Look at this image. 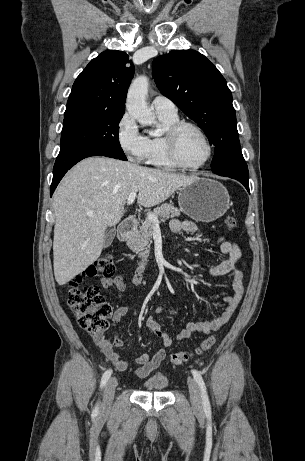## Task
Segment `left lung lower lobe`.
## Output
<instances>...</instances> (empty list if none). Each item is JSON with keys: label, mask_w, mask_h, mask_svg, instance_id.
<instances>
[{"label": "left lung lower lobe", "mask_w": 305, "mask_h": 461, "mask_svg": "<svg viewBox=\"0 0 305 461\" xmlns=\"http://www.w3.org/2000/svg\"><path fill=\"white\" fill-rule=\"evenodd\" d=\"M221 176H227V177H230V178H233V179H236L238 180L239 182H241L245 188L248 190L249 192V182H248V177H242V176H239V175H233V174H227V175H221Z\"/></svg>", "instance_id": "0a47b994"}]
</instances>
